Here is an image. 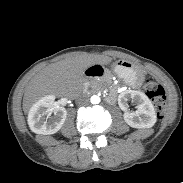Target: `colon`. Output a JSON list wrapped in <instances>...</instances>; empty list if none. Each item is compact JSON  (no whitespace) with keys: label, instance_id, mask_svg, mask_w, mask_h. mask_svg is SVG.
<instances>
[{"label":"colon","instance_id":"1","mask_svg":"<svg viewBox=\"0 0 183 183\" xmlns=\"http://www.w3.org/2000/svg\"><path fill=\"white\" fill-rule=\"evenodd\" d=\"M144 92L154 102L157 115L162 117L166 108V92L162 85L152 79L144 81Z\"/></svg>","mask_w":183,"mask_h":183}]
</instances>
